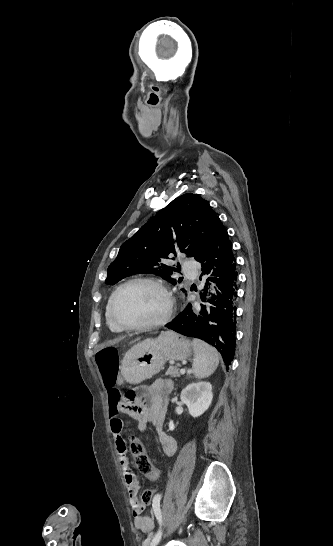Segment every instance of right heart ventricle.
<instances>
[{"instance_id":"e07e8e85","label":"right heart ventricle","mask_w":333,"mask_h":546,"mask_svg":"<svg viewBox=\"0 0 333 546\" xmlns=\"http://www.w3.org/2000/svg\"><path fill=\"white\" fill-rule=\"evenodd\" d=\"M109 301H110V298L108 299L106 308H105V319H106L107 326L113 333H120L121 330L118 329L111 321V318L109 315Z\"/></svg>"}]
</instances>
